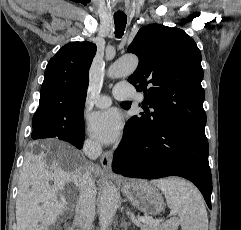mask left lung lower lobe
Segmentation results:
<instances>
[{
    "instance_id": "0a47b994",
    "label": "left lung lower lobe",
    "mask_w": 241,
    "mask_h": 230,
    "mask_svg": "<svg viewBox=\"0 0 241 230\" xmlns=\"http://www.w3.org/2000/svg\"><path fill=\"white\" fill-rule=\"evenodd\" d=\"M208 150L205 127L170 122L148 132L132 117L114 153L112 169L125 177H184L197 186L211 209Z\"/></svg>"
}]
</instances>
